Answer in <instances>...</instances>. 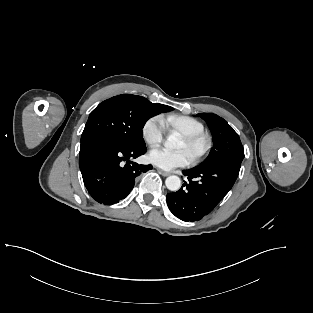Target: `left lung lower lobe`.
Instances as JSON below:
<instances>
[{
  "instance_id": "obj_1",
  "label": "left lung lower lobe",
  "mask_w": 313,
  "mask_h": 313,
  "mask_svg": "<svg viewBox=\"0 0 313 313\" xmlns=\"http://www.w3.org/2000/svg\"><path fill=\"white\" fill-rule=\"evenodd\" d=\"M241 162L224 161L184 170L189 183L166 196L171 212L183 221H199L209 214L234 185Z\"/></svg>"
}]
</instances>
